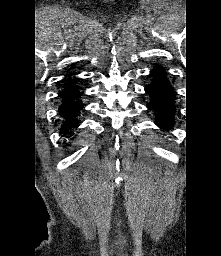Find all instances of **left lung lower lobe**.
I'll return each instance as SVG.
<instances>
[{"instance_id": "obj_1", "label": "left lung lower lobe", "mask_w": 221, "mask_h": 256, "mask_svg": "<svg viewBox=\"0 0 221 256\" xmlns=\"http://www.w3.org/2000/svg\"><path fill=\"white\" fill-rule=\"evenodd\" d=\"M150 75L154 77V81L145 88L146 93L151 96V101L147 106L156 112V124L168 129L174 122L175 93L162 69L154 68Z\"/></svg>"}]
</instances>
